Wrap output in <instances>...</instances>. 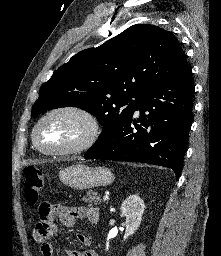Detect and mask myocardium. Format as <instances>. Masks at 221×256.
<instances>
[{"label":"myocardium","instance_id":"f54148a6","mask_svg":"<svg viewBox=\"0 0 221 256\" xmlns=\"http://www.w3.org/2000/svg\"><path fill=\"white\" fill-rule=\"evenodd\" d=\"M59 113H73L83 118L87 124L88 130L85 137L69 147L59 149H49L43 147L38 141V131L41 125L50 117ZM102 134V125L98 117L89 109L79 105H62L55 107L45 113L36 123L32 131V141L34 146L44 154L48 155H70L80 153L91 148L100 138Z\"/></svg>","mask_w":221,"mask_h":256}]
</instances>
